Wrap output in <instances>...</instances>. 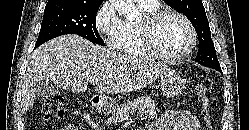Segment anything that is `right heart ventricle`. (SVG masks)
<instances>
[{"instance_id":"right-heart-ventricle-1","label":"right heart ventricle","mask_w":249,"mask_h":130,"mask_svg":"<svg viewBox=\"0 0 249 130\" xmlns=\"http://www.w3.org/2000/svg\"><path fill=\"white\" fill-rule=\"evenodd\" d=\"M138 5L146 14L158 9V5L149 6L142 3H138ZM116 48L132 57H146L149 55L143 45L139 23L122 22Z\"/></svg>"}]
</instances>
